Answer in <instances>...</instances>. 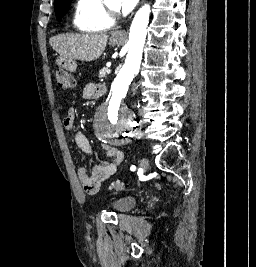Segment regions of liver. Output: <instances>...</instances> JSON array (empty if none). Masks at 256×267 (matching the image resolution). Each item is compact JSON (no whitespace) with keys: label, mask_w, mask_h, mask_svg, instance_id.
<instances>
[{"label":"liver","mask_w":256,"mask_h":267,"mask_svg":"<svg viewBox=\"0 0 256 267\" xmlns=\"http://www.w3.org/2000/svg\"><path fill=\"white\" fill-rule=\"evenodd\" d=\"M118 34L120 32H112L114 38ZM108 38L107 34H58L50 38L49 44L63 60L92 62L103 54Z\"/></svg>","instance_id":"obj_1"}]
</instances>
